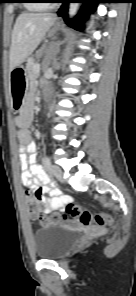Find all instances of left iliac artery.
Listing matches in <instances>:
<instances>
[{"instance_id":"44dca946","label":"left iliac artery","mask_w":136,"mask_h":296,"mask_svg":"<svg viewBox=\"0 0 136 296\" xmlns=\"http://www.w3.org/2000/svg\"><path fill=\"white\" fill-rule=\"evenodd\" d=\"M45 165H46L48 170H51V162H50L49 158H46Z\"/></svg>"}]
</instances>
